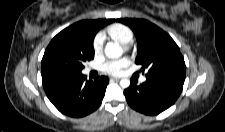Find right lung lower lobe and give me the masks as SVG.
<instances>
[{
    "instance_id": "1",
    "label": "right lung lower lobe",
    "mask_w": 225,
    "mask_h": 132,
    "mask_svg": "<svg viewBox=\"0 0 225 132\" xmlns=\"http://www.w3.org/2000/svg\"><path fill=\"white\" fill-rule=\"evenodd\" d=\"M108 83L105 76L86 80V76L80 73L55 78L43 83V87L59 111L71 117H83L100 106Z\"/></svg>"
}]
</instances>
